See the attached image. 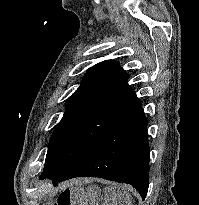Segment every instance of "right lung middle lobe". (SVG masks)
Here are the masks:
<instances>
[{"label": "right lung middle lobe", "mask_w": 199, "mask_h": 205, "mask_svg": "<svg viewBox=\"0 0 199 205\" xmlns=\"http://www.w3.org/2000/svg\"><path fill=\"white\" fill-rule=\"evenodd\" d=\"M123 121L92 110L66 111L51 136L42 176L59 171L84 151L100 143Z\"/></svg>", "instance_id": "obj_1"}]
</instances>
